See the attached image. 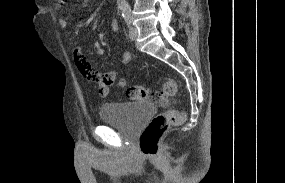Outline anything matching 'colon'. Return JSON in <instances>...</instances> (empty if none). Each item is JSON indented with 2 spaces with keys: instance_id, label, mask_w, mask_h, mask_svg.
Here are the masks:
<instances>
[{
  "instance_id": "1",
  "label": "colon",
  "mask_w": 285,
  "mask_h": 183,
  "mask_svg": "<svg viewBox=\"0 0 285 183\" xmlns=\"http://www.w3.org/2000/svg\"><path fill=\"white\" fill-rule=\"evenodd\" d=\"M81 74L89 80L96 79L87 64L77 65ZM120 86L125 89L126 96L132 100L151 99L159 105H164L174 98L177 93V84L174 80H166L162 92L152 93L149 88L138 85H129L126 79L120 80ZM185 113L174 109L157 114L140 136L139 146L142 153L153 155L157 152L158 143L163 134L172 126L180 125L185 120Z\"/></svg>"
}]
</instances>
